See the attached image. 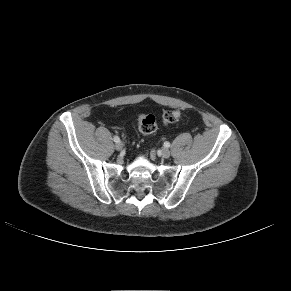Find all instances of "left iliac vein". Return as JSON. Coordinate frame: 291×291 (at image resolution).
<instances>
[{
	"mask_svg": "<svg viewBox=\"0 0 291 291\" xmlns=\"http://www.w3.org/2000/svg\"><path fill=\"white\" fill-rule=\"evenodd\" d=\"M161 155H162V157H164V158H168V157L170 156V151H169L167 148H163V149L161 150Z\"/></svg>",
	"mask_w": 291,
	"mask_h": 291,
	"instance_id": "1",
	"label": "left iliac vein"
}]
</instances>
